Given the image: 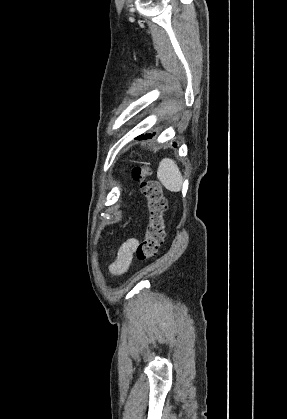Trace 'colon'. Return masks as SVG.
<instances>
[{"mask_svg":"<svg viewBox=\"0 0 287 419\" xmlns=\"http://www.w3.org/2000/svg\"><path fill=\"white\" fill-rule=\"evenodd\" d=\"M150 173L147 166H136L132 171L133 179L140 184L141 191L147 199L149 213L145 238L135 250L140 262H146L155 257L164 241L163 215L167 204L160 184L149 179Z\"/></svg>","mask_w":287,"mask_h":419,"instance_id":"colon-1","label":"colon"}]
</instances>
